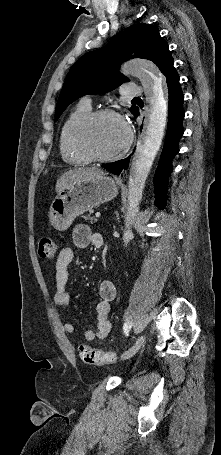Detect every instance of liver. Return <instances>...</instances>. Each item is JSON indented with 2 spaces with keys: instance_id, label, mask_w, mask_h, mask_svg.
I'll list each match as a JSON object with an SVG mask.
<instances>
[{
  "instance_id": "obj_1",
  "label": "liver",
  "mask_w": 221,
  "mask_h": 455,
  "mask_svg": "<svg viewBox=\"0 0 221 455\" xmlns=\"http://www.w3.org/2000/svg\"><path fill=\"white\" fill-rule=\"evenodd\" d=\"M104 175L101 169L95 167L88 168H75L62 174L57 180L55 190L57 193L61 192L66 186L72 184L75 181L90 179Z\"/></svg>"
}]
</instances>
